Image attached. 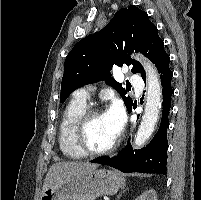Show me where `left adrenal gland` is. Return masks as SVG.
<instances>
[{"label":"left adrenal gland","instance_id":"a2214340","mask_svg":"<svg viewBox=\"0 0 201 200\" xmlns=\"http://www.w3.org/2000/svg\"><path fill=\"white\" fill-rule=\"evenodd\" d=\"M127 190H128V188H124V189L119 193V195L117 196V199H116V200H119L120 197L122 196V193H124V192L127 191Z\"/></svg>","mask_w":201,"mask_h":200}]
</instances>
